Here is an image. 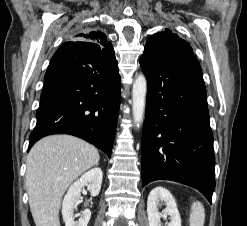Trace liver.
<instances>
[{
    "label": "liver",
    "instance_id": "obj_1",
    "mask_svg": "<svg viewBox=\"0 0 247 226\" xmlns=\"http://www.w3.org/2000/svg\"><path fill=\"white\" fill-rule=\"evenodd\" d=\"M99 159L94 146L70 135L48 136L32 147L27 156L26 186L36 226H60L66 189Z\"/></svg>",
    "mask_w": 247,
    "mask_h": 226
}]
</instances>
